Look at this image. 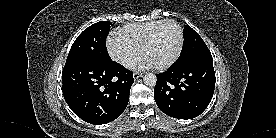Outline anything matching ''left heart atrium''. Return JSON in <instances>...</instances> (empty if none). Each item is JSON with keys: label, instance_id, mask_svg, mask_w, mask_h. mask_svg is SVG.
<instances>
[{"label": "left heart atrium", "instance_id": "1", "mask_svg": "<svg viewBox=\"0 0 276 138\" xmlns=\"http://www.w3.org/2000/svg\"><path fill=\"white\" fill-rule=\"evenodd\" d=\"M134 67L138 70L154 69L157 65L146 55L141 56L135 63Z\"/></svg>", "mask_w": 276, "mask_h": 138}]
</instances>
